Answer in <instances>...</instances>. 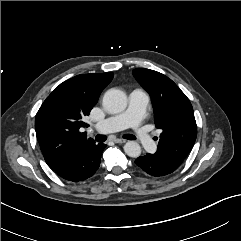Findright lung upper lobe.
<instances>
[{"label": "right lung upper lobe", "mask_w": 241, "mask_h": 241, "mask_svg": "<svg viewBox=\"0 0 241 241\" xmlns=\"http://www.w3.org/2000/svg\"><path fill=\"white\" fill-rule=\"evenodd\" d=\"M113 74L77 75L61 83L46 98L35 118L36 136L48 166L56 168L74 150H84L95 142L86 138L81 127L96 105Z\"/></svg>", "instance_id": "right-lung-upper-lobe-1"}]
</instances>
